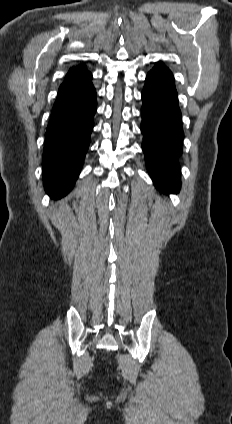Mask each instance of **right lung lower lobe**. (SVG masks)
<instances>
[{
  "mask_svg": "<svg viewBox=\"0 0 232 424\" xmlns=\"http://www.w3.org/2000/svg\"><path fill=\"white\" fill-rule=\"evenodd\" d=\"M88 71L65 77L45 135L43 180L52 198L66 195L75 184L90 143L96 91Z\"/></svg>",
  "mask_w": 232,
  "mask_h": 424,
  "instance_id": "obj_1",
  "label": "right lung lower lobe"
}]
</instances>
